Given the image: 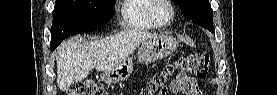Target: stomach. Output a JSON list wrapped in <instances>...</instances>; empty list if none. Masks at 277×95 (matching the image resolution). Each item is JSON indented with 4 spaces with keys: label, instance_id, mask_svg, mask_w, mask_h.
<instances>
[{
    "label": "stomach",
    "instance_id": "obj_1",
    "mask_svg": "<svg viewBox=\"0 0 277 95\" xmlns=\"http://www.w3.org/2000/svg\"><path fill=\"white\" fill-rule=\"evenodd\" d=\"M178 45V41L170 35H157L142 42L138 52V62L149 64L172 54ZM133 71V62L126 59L113 69L102 75L105 82L115 84L125 81Z\"/></svg>",
    "mask_w": 277,
    "mask_h": 95
}]
</instances>
